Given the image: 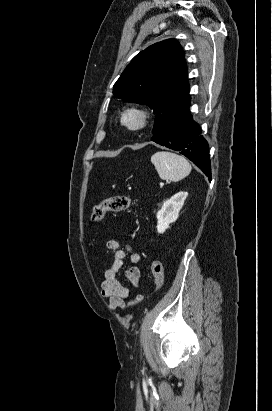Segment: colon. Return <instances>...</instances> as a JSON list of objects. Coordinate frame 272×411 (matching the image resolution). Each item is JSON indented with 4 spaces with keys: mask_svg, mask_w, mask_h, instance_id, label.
<instances>
[{
    "mask_svg": "<svg viewBox=\"0 0 272 411\" xmlns=\"http://www.w3.org/2000/svg\"><path fill=\"white\" fill-rule=\"evenodd\" d=\"M134 204V200L127 196L116 195L109 197L92 208L91 220L94 223L102 221L107 213H115L128 210ZM156 290H159L164 282L163 265L160 260L151 262Z\"/></svg>",
    "mask_w": 272,
    "mask_h": 411,
    "instance_id": "colon-1",
    "label": "colon"
}]
</instances>
